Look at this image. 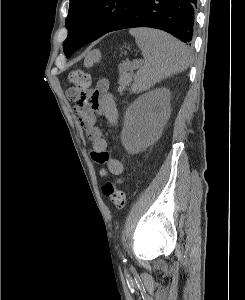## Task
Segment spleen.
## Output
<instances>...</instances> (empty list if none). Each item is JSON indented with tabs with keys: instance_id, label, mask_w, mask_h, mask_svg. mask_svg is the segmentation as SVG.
<instances>
[{
	"instance_id": "1",
	"label": "spleen",
	"mask_w": 245,
	"mask_h": 300,
	"mask_svg": "<svg viewBox=\"0 0 245 300\" xmlns=\"http://www.w3.org/2000/svg\"><path fill=\"white\" fill-rule=\"evenodd\" d=\"M144 57L132 86L134 93L145 91L157 82L179 73L189 66V54L179 40L171 35L147 28L131 29Z\"/></svg>"
}]
</instances>
